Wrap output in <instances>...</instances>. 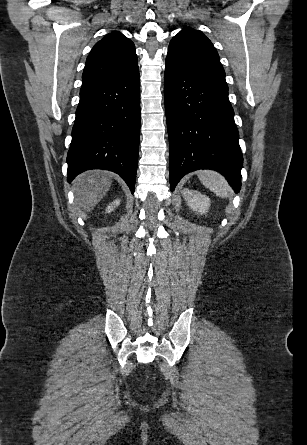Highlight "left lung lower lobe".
Masks as SVG:
<instances>
[{"label":"left lung lower lobe","mask_w":307,"mask_h":445,"mask_svg":"<svg viewBox=\"0 0 307 445\" xmlns=\"http://www.w3.org/2000/svg\"><path fill=\"white\" fill-rule=\"evenodd\" d=\"M164 94L171 190L185 174L213 169L239 192L243 157L228 89L166 58Z\"/></svg>","instance_id":"1"}]
</instances>
